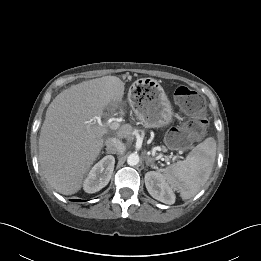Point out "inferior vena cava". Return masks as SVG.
Returning a JSON list of instances; mask_svg holds the SVG:
<instances>
[{"mask_svg":"<svg viewBox=\"0 0 261 261\" xmlns=\"http://www.w3.org/2000/svg\"><path fill=\"white\" fill-rule=\"evenodd\" d=\"M106 151L111 154H123L125 152V145L116 138H108L105 141Z\"/></svg>","mask_w":261,"mask_h":261,"instance_id":"602c4592","label":"inferior vena cava"}]
</instances>
